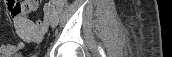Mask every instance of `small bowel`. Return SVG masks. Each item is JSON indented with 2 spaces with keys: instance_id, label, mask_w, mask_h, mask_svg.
Returning <instances> with one entry per match:
<instances>
[{
  "instance_id": "1",
  "label": "small bowel",
  "mask_w": 172,
  "mask_h": 57,
  "mask_svg": "<svg viewBox=\"0 0 172 57\" xmlns=\"http://www.w3.org/2000/svg\"><path fill=\"white\" fill-rule=\"evenodd\" d=\"M37 5L38 1L36 0L11 2L10 10L16 11V13L12 15L13 21L21 23L30 12L36 10ZM24 46V40L13 44H0V56L11 57L21 51Z\"/></svg>"
}]
</instances>
